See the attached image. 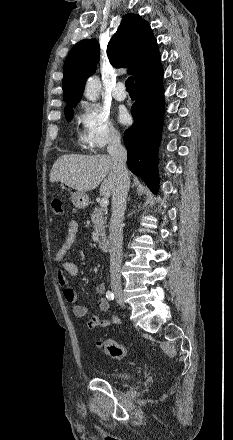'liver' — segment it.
I'll return each instance as SVG.
<instances>
[{
  "mask_svg": "<svg viewBox=\"0 0 233 440\" xmlns=\"http://www.w3.org/2000/svg\"><path fill=\"white\" fill-rule=\"evenodd\" d=\"M103 181V182H102ZM116 171L108 155H62L53 164L50 182H61L79 192L97 188L109 197L114 189Z\"/></svg>",
  "mask_w": 233,
  "mask_h": 440,
  "instance_id": "obj_1",
  "label": "liver"
}]
</instances>
